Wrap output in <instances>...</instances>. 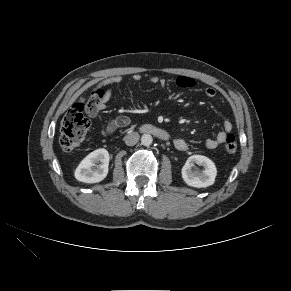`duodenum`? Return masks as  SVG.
Wrapping results in <instances>:
<instances>
[{
    "instance_id": "410a0bca",
    "label": "duodenum",
    "mask_w": 291,
    "mask_h": 291,
    "mask_svg": "<svg viewBox=\"0 0 291 291\" xmlns=\"http://www.w3.org/2000/svg\"><path fill=\"white\" fill-rule=\"evenodd\" d=\"M141 130L145 133L153 134L161 140H168L169 135L166 131L153 125H144Z\"/></svg>"
}]
</instances>
